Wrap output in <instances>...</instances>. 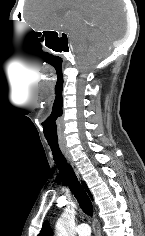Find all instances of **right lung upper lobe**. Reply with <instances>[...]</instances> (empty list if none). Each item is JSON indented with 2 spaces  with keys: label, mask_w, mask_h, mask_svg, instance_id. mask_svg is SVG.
<instances>
[{
  "label": "right lung upper lobe",
  "mask_w": 145,
  "mask_h": 236,
  "mask_svg": "<svg viewBox=\"0 0 145 236\" xmlns=\"http://www.w3.org/2000/svg\"><path fill=\"white\" fill-rule=\"evenodd\" d=\"M82 184H83L84 188L90 194L87 185L84 182H82ZM90 196H91V194H90ZM38 236H53V232H52V230L50 228V225H49V223L47 221L43 224L42 229H41V231H40Z\"/></svg>",
  "instance_id": "cb5924a9"
}]
</instances>
